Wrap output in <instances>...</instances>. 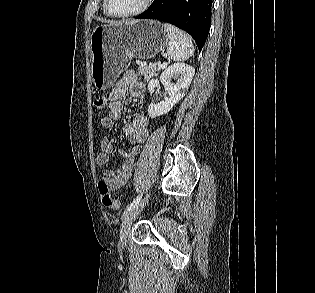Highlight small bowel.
I'll return each instance as SVG.
<instances>
[{
  "mask_svg": "<svg viewBox=\"0 0 315 293\" xmlns=\"http://www.w3.org/2000/svg\"><path fill=\"white\" fill-rule=\"evenodd\" d=\"M144 85L138 81L135 72L127 71L123 77L116 83L115 87L108 96L109 111L107 116L101 120L105 131H110L116 121L120 119L123 108V98L129 94L132 99V106L138 108L140 98L144 94ZM123 132L128 141L133 145L129 152L120 151L123 157V164L117 169L105 168L103 170V181L106 182L109 189L117 191L124 187L129 181L134 162L140 152L142 143L146 140L148 130V120L142 114H136L131 122L123 126ZM114 151L112 141L104 137L101 141V151L97 154L95 161L99 166H105L110 162L111 154Z\"/></svg>",
  "mask_w": 315,
  "mask_h": 293,
  "instance_id": "small-bowel-1",
  "label": "small bowel"
}]
</instances>
